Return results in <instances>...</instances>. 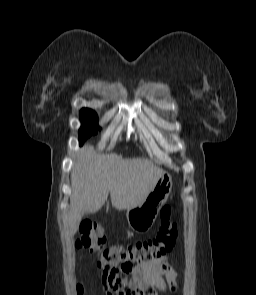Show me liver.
<instances>
[{"instance_id":"liver-1","label":"liver","mask_w":256,"mask_h":295,"mask_svg":"<svg viewBox=\"0 0 256 295\" xmlns=\"http://www.w3.org/2000/svg\"><path fill=\"white\" fill-rule=\"evenodd\" d=\"M162 174V169L148 159L97 156L92 147H85L71 174L70 236L76 233L85 213L101 209L109 193L116 209L134 208L144 202Z\"/></svg>"}]
</instances>
